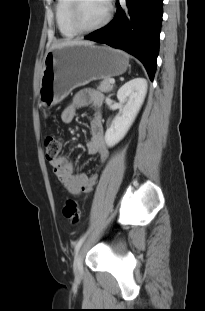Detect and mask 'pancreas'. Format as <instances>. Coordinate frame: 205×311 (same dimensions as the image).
I'll use <instances>...</instances> for the list:
<instances>
[{
	"label": "pancreas",
	"instance_id": "obj_1",
	"mask_svg": "<svg viewBox=\"0 0 205 311\" xmlns=\"http://www.w3.org/2000/svg\"><path fill=\"white\" fill-rule=\"evenodd\" d=\"M109 80L110 78H104L97 87V90L105 93L110 92L113 89V84H111Z\"/></svg>",
	"mask_w": 205,
	"mask_h": 311
}]
</instances>
